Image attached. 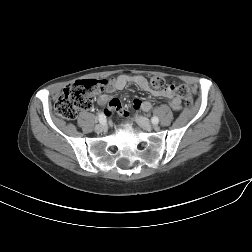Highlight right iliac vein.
<instances>
[{
    "mask_svg": "<svg viewBox=\"0 0 252 252\" xmlns=\"http://www.w3.org/2000/svg\"><path fill=\"white\" fill-rule=\"evenodd\" d=\"M106 126L105 125H101V124H97L94 128L95 132L97 133H101L103 131H105Z\"/></svg>",
    "mask_w": 252,
    "mask_h": 252,
    "instance_id": "obj_1",
    "label": "right iliac vein"
}]
</instances>
